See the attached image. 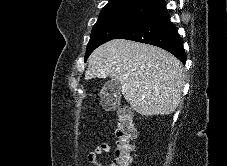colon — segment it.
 I'll list each match as a JSON object with an SVG mask.
<instances>
[{
  "mask_svg": "<svg viewBox=\"0 0 227 166\" xmlns=\"http://www.w3.org/2000/svg\"><path fill=\"white\" fill-rule=\"evenodd\" d=\"M115 136L117 148L115 151V158L110 166H130L132 164L135 128L132 110L127 106H123L119 109L115 122Z\"/></svg>",
  "mask_w": 227,
  "mask_h": 166,
  "instance_id": "5ec220e1",
  "label": "colon"
}]
</instances>
